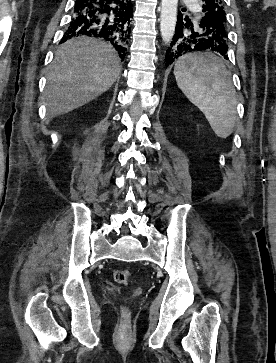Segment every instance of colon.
Wrapping results in <instances>:
<instances>
[{
    "label": "colon",
    "instance_id": "5ec220e1",
    "mask_svg": "<svg viewBox=\"0 0 276 363\" xmlns=\"http://www.w3.org/2000/svg\"><path fill=\"white\" fill-rule=\"evenodd\" d=\"M114 279L121 285H126L130 278V272L128 270H115L113 273ZM129 320V311L126 307L121 309V322L126 325Z\"/></svg>",
    "mask_w": 276,
    "mask_h": 363
}]
</instances>
